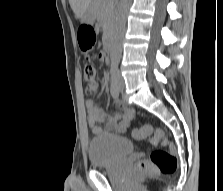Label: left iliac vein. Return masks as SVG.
Returning <instances> with one entry per match:
<instances>
[{"label":"left iliac vein","mask_w":223,"mask_h":191,"mask_svg":"<svg viewBox=\"0 0 223 191\" xmlns=\"http://www.w3.org/2000/svg\"><path fill=\"white\" fill-rule=\"evenodd\" d=\"M118 87L120 91L124 89V80L121 76L118 77Z\"/></svg>","instance_id":"1"}]
</instances>
